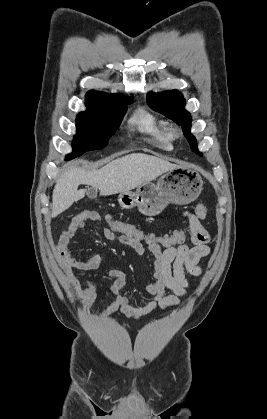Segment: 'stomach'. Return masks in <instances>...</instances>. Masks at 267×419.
Wrapping results in <instances>:
<instances>
[{"mask_svg":"<svg viewBox=\"0 0 267 419\" xmlns=\"http://www.w3.org/2000/svg\"><path fill=\"white\" fill-rule=\"evenodd\" d=\"M203 180L194 167L183 165L165 172L157 181L141 184L135 192H121L118 202L123 209L137 207L146 216H156L170 204L193 202L201 193Z\"/></svg>","mask_w":267,"mask_h":419,"instance_id":"0dacf381","label":"stomach"}]
</instances>
